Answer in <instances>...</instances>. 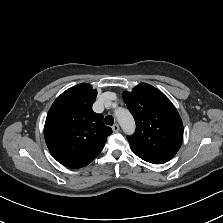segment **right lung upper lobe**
<instances>
[{"instance_id":"right-lung-upper-lobe-1","label":"right lung upper lobe","mask_w":223,"mask_h":223,"mask_svg":"<svg viewBox=\"0 0 223 223\" xmlns=\"http://www.w3.org/2000/svg\"><path fill=\"white\" fill-rule=\"evenodd\" d=\"M97 91L78 84L63 92L52 104L44 126L47 147L53 157L69 168L89 164L112 133L103 115L92 110Z\"/></svg>"}]
</instances>
